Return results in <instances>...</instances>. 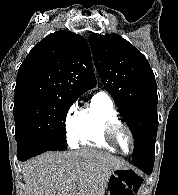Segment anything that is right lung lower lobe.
I'll use <instances>...</instances> for the list:
<instances>
[{
	"label": "right lung lower lobe",
	"mask_w": 178,
	"mask_h": 195,
	"mask_svg": "<svg viewBox=\"0 0 178 195\" xmlns=\"http://www.w3.org/2000/svg\"><path fill=\"white\" fill-rule=\"evenodd\" d=\"M65 144L61 143H49V144H37L27 143L17 145V159L20 161H26L36 155H39L46 151L54 150H66Z\"/></svg>",
	"instance_id": "obj_1"
}]
</instances>
